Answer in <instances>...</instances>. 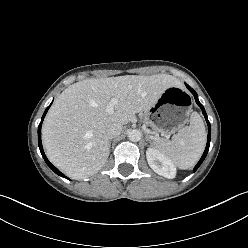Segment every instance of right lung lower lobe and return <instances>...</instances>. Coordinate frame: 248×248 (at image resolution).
<instances>
[{"mask_svg":"<svg viewBox=\"0 0 248 248\" xmlns=\"http://www.w3.org/2000/svg\"><path fill=\"white\" fill-rule=\"evenodd\" d=\"M51 106V104L47 107V109L45 110L43 116H42V119H41V122L39 124V127H38V144H39V148H40V152L42 154V157L44 158L45 162L47 163V165L56 173L58 174L59 176H62V177H65L64 174H62L56 167H54L50 162L49 160L47 159V157L45 156V153L43 151V147H42V142H41V125H42V122H43V119L49 109V107Z\"/></svg>","mask_w":248,"mask_h":248,"instance_id":"obj_1","label":"right lung lower lobe"}]
</instances>
